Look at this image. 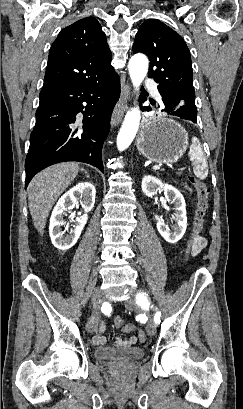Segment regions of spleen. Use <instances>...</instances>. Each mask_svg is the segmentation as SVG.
I'll use <instances>...</instances> for the list:
<instances>
[{
	"instance_id": "obj_1",
	"label": "spleen",
	"mask_w": 243,
	"mask_h": 409,
	"mask_svg": "<svg viewBox=\"0 0 243 409\" xmlns=\"http://www.w3.org/2000/svg\"><path fill=\"white\" fill-rule=\"evenodd\" d=\"M188 154L192 161L194 174L199 179L204 180L208 175V163L204 157L202 146L198 138L192 137V144Z\"/></svg>"
}]
</instances>
